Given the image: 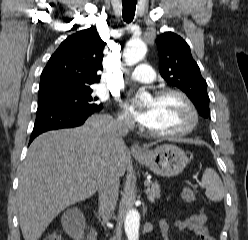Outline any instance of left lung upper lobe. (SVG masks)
Here are the masks:
<instances>
[{
  "instance_id": "obj_1",
  "label": "left lung upper lobe",
  "mask_w": 248,
  "mask_h": 240,
  "mask_svg": "<svg viewBox=\"0 0 248 240\" xmlns=\"http://www.w3.org/2000/svg\"><path fill=\"white\" fill-rule=\"evenodd\" d=\"M156 44L161 76L185 92L201 116L210 117L207 83L201 76L188 44L173 32L159 35Z\"/></svg>"
}]
</instances>
